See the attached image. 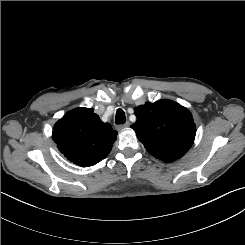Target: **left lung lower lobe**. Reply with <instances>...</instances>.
Here are the masks:
<instances>
[{
	"mask_svg": "<svg viewBox=\"0 0 245 245\" xmlns=\"http://www.w3.org/2000/svg\"><path fill=\"white\" fill-rule=\"evenodd\" d=\"M163 161H165V162H171V161H174V160H163Z\"/></svg>",
	"mask_w": 245,
	"mask_h": 245,
	"instance_id": "left-lung-lower-lobe-1",
	"label": "left lung lower lobe"
}]
</instances>
